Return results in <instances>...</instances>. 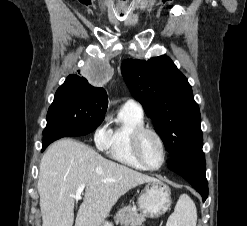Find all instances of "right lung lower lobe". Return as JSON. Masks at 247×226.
<instances>
[{
	"mask_svg": "<svg viewBox=\"0 0 247 226\" xmlns=\"http://www.w3.org/2000/svg\"><path fill=\"white\" fill-rule=\"evenodd\" d=\"M64 136H82V135H75V134H66ZM63 136V137H64ZM61 138L59 135L57 136H47V135H44V139H43V148H42V151L50 144L52 143L53 141L57 140Z\"/></svg>",
	"mask_w": 247,
	"mask_h": 226,
	"instance_id": "obj_1",
	"label": "right lung lower lobe"
}]
</instances>
